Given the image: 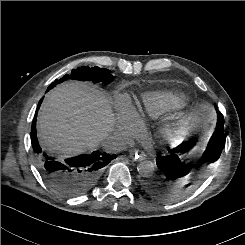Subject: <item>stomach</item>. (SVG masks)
Wrapping results in <instances>:
<instances>
[{
    "label": "stomach",
    "instance_id": "obj_1",
    "mask_svg": "<svg viewBox=\"0 0 245 245\" xmlns=\"http://www.w3.org/2000/svg\"><path fill=\"white\" fill-rule=\"evenodd\" d=\"M196 123H200L204 126L205 129H209L211 123V117L209 114H205L202 117L195 119Z\"/></svg>",
    "mask_w": 245,
    "mask_h": 245
}]
</instances>
